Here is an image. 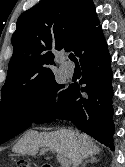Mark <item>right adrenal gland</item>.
<instances>
[{"mask_svg": "<svg viewBox=\"0 0 125 167\" xmlns=\"http://www.w3.org/2000/svg\"><path fill=\"white\" fill-rule=\"evenodd\" d=\"M97 162V159L94 156H88L85 160V162L83 163L82 167H86L87 164L89 163H95Z\"/></svg>", "mask_w": 125, "mask_h": 167, "instance_id": "right-adrenal-gland-1", "label": "right adrenal gland"}]
</instances>
